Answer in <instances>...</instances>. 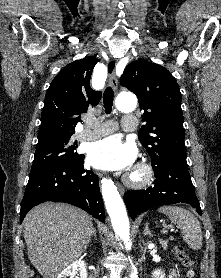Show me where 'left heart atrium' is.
Wrapping results in <instances>:
<instances>
[{"label":"left heart atrium","mask_w":221,"mask_h":278,"mask_svg":"<svg viewBox=\"0 0 221 278\" xmlns=\"http://www.w3.org/2000/svg\"><path fill=\"white\" fill-rule=\"evenodd\" d=\"M136 148L124 143L118 136H110L94 142L88 150L89 163L99 169L123 170L135 160Z\"/></svg>","instance_id":"left-heart-atrium-1"}]
</instances>
